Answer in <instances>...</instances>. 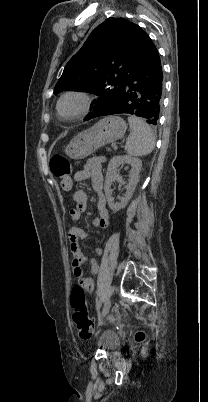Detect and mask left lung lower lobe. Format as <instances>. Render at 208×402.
<instances>
[{
  "label": "left lung lower lobe",
  "instance_id": "left-lung-lower-lobe-1",
  "mask_svg": "<svg viewBox=\"0 0 208 402\" xmlns=\"http://www.w3.org/2000/svg\"><path fill=\"white\" fill-rule=\"evenodd\" d=\"M129 42L132 44V69L118 87L114 100L96 117L126 113L157 125L163 98V71L159 53L147 33L136 24Z\"/></svg>",
  "mask_w": 208,
  "mask_h": 402
}]
</instances>
